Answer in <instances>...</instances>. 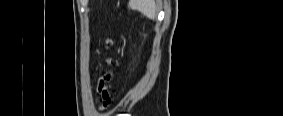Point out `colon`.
I'll return each instance as SVG.
<instances>
[{
  "label": "colon",
  "instance_id": "obj_1",
  "mask_svg": "<svg viewBox=\"0 0 283 116\" xmlns=\"http://www.w3.org/2000/svg\"><path fill=\"white\" fill-rule=\"evenodd\" d=\"M106 44H107V47L111 46V45H112V40H111V39H107ZM107 61H108L109 63L111 62L110 59H107ZM103 78H104V80L108 81V80L111 78V75H110V74H107V75H105ZM109 102H110V99H104V100L102 101V107H104V108L107 107V105L109 104Z\"/></svg>",
  "mask_w": 283,
  "mask_h": 116
}]
</instances>
